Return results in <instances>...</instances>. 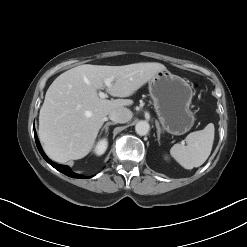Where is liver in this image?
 Here are the masks:
<instances>
[{"label":"liver","instance_id":"1","mask_svg":"<svg viewBox=\"0 0 247 247\" xmlns=\"http://www.w3.org/2000/svg\"><path fill=\"white\" fill-rule=\"evenodd\" d=\"M162 70H166L163 64L147 62L123 66L84 64L62 73L48 88L39 114L38 134L46 154L60 163L85 157L109 112L133 104L130 99L120 98L133 95ZM106 78L114 79L107 92L119 99L98 96Z\"/></svg>","mask_w":247,"mask_h":247}]
</instances>
